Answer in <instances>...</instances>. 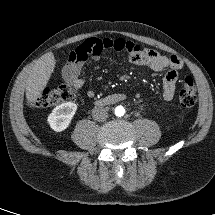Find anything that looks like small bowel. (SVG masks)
<instances>
[{"instance_id":"obj_1","label":"small bowel","mask_w":215,"mask_h":215,"mask_svg":"<svg viewBox=\"0 0 215 215\" xmlns=\"http://www.w3.org/2000/svg\"><path fill=\"white\" fill-rule=\"evenodd\" d=\"M106 49L126 52L132 64L145 65L156 72L167 69L162 79L163 100L168 102L173 99L178 80V71L183 67L182 60L175 55L166 56L153 49L141 48L138 44L123 38H90L84 41L70 53L62 71L64 81L77 89L82 88L85 80L81 74L88 57L97 61L100 59L101 53ZM86 95L89 98H93L95 92L88 90Z\"/></svg>"}]
</instances>
